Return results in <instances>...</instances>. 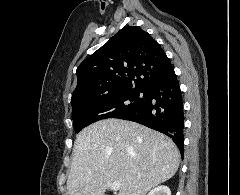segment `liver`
I'll return each instance as SVG.
<instances>
[{"mask_svg": "<svg viewBox=\"0 0 240 195\" xmlns=\"http://www.w3.org/2000/svg\"><path fill=\"white\" fill-rule=\"evenodd\" d=\"M76 137L69 195H104L112 181L122 183L118 195H145L179 167L180 151L171 137L135 121L100 119Z\"/></svg>", "mask_w": 240, "mask_h": 195, "instance_id": "obj_1", "label": "liver"}]
</instances>
